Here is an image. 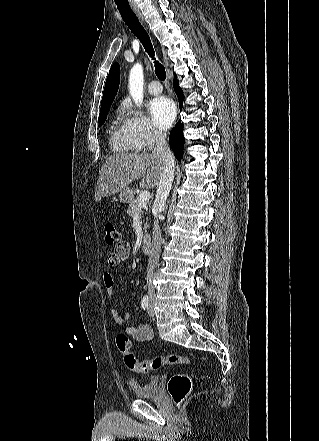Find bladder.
Returning <instances> with one entry per match:
<instances>
[{"mask_svg":"<svg viewBox=\"0 0 319 441\" xmlns=\"http://www.w3.org/2000/svg\"><path fill=\"white\" fill-rule=\"evenodd\" d=\"M130 387L134 395L138 398H154L159 393V378L157 376H151L144 383H138L135 380H131Z\"/></svg>","mask_w":319,"mask_h":441,"instance_id":"1","label":"bladder"}]
</instances>
